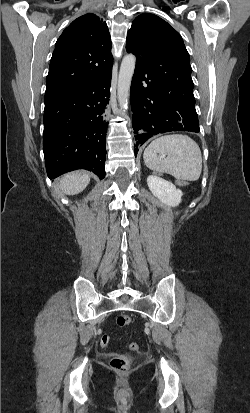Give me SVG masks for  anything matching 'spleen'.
Masks as SVG:
<instances>
[{
	"mask_svg": "<svg viewBox=\"0 0 250 413\" xmlns=\"http://www.w3.org/2000/svg\"><path fill=\"white\" fill-rule=\"evenodd\" d=\"M146 166L159 173H168L177 180L196 181L202 172V156L198 144L187 135H165L152 141L145 149Z\"/></svg>",
	"mask_w": 250,
	"mask_h": 413,
	"instance_id": "1",
	"label": "spleen"
}]
</instances>
